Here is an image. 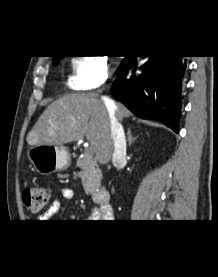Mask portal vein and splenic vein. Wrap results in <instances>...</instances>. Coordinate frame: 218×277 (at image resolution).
<instances>
[{"label":"portal vein and splenic vein","instance_id":"obj_1","mask_svg":"<svg viewBox=\"0 0 218 277\" xmlns=\"http://www.w3.org/2000/svg\"><path fill=\"white\" fill-rule=\"evenodd\" d=\"M93 153H94L93 148H92L91 146H88V147L86 148V154H88L89 156H92Z\"/></svg>","mask_w":218,"mask_h":277}]
</instances>
